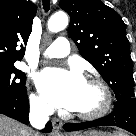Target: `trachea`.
I'll use <instances>...</instances> for the list:
<instances>
[{"label":"trachea","mask_w":136,"mask_h":136,"mask_svg":"<svg viewBox=\"0 0 136 136\" xmlns=\"http://www.w3.org/2000/svg\"><path fill=\"white\" fill-rule=\"evenodd\" d=\"M43 8L45 11H48L50 8V0H43Z\"/></svg>","instance_id":"trachea-1"}]
</instances>
